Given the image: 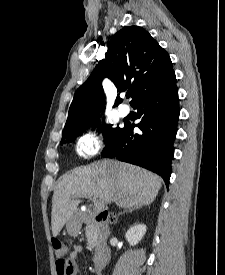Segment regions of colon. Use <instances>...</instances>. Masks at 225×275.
Here are the masks:
<instances>
[{"label": "colon", "mask_w": 225, "mask_h": 275, "mask_svg": "<svg viewBox=\"0 0 225 275\" xmlns=\"http://www.w3.org/2000/svg\"><path fill=\"white\" fill-rule=\"evenodd\" d=\"M98 218L105 222H114L116 217L112 213L108 211H103L98 215ZM52 247L54 254L57 257L56 261V271L58 275H69L71 272V267L68 263V260L66 258L68 253V246L67 244L59 239H54L52 241Z\"/></svg>", "instance_id": "obj_1"}]
</instances>
